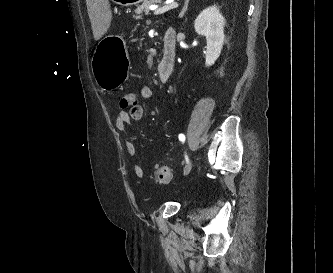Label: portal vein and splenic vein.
Wrapping results in <instances>:
<instances>
[{"label":"portal vein and splenic vein","instance_id":"1","mask_svg":"<svg viewBox=\"0 0 333 273\" xmlns=\"http://www.w3.org/2000/svg\"><path fill=\"white\" fill-rule=\"evenodd\" d=\"M176 7H178L177 3H171V4L164 5L162 7H160V6L152 7L151 10H154V15H159V14H163L171 9H174Z\"/></svg>","mask_w":333,"mask_h":273}]
</instances>
